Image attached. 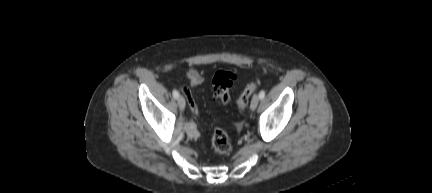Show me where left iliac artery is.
<instances>
[{"instance_id":"obj_1","label":"left iliac artery","mask_w":432,"mask_h":193,"mask_svg":"<svg viewBox=\"0 0 432 193\" xmlns=\"http://www.w3.org/2000/svg\"><path fill=\"white\" fill-rule=\"evenodd\" d=\"M264 97H265V91L261 90L260 93H259V98L263 99Z\"/></svg>"}]
</instances>
